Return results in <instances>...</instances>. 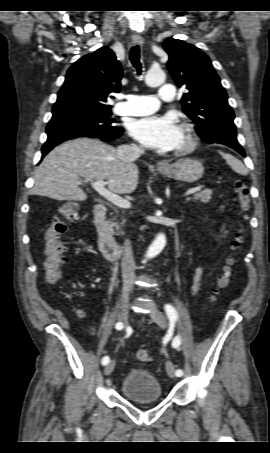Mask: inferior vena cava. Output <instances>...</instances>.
<instances>
[{
    "instance_id": "1",
    "label": "inferior vena cava",
    "mask_w": 270,
    "mask_h": 453,
    "mask_svg": "<svg viewBox=\"0 0 270 453\" xmlns=\"http://www.w3.org/2000/svg\"><path fill=\"white\" fill-rule=\"evenodd\" d=\"M144 153L142 147L137 145H121L117 148L118 158L125 162H133ZM135 261L130 240L126 239L123 247L122 273L123 276L133 278Z\"/></svg>"
}]
</instances>
